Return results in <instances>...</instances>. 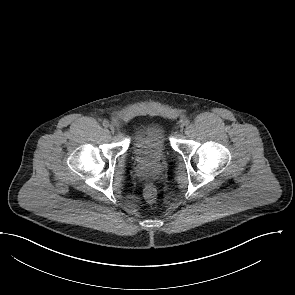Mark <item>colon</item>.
I'll use <instances>...</instances> for the list:
<instances>
[{
    "instance_id": "1",
    "label": "colon",
    "mask_w": 295,
    "mask_h": 295,
    "mask_svg": "<svg viewBox=\"0 0 295 295\" xmlns=\"http://www.w3.org/2000/svg\"><path fill=\"white\" fill-rule=\"evenodd\" d=\"M144 197L148 202H154L157 197V190L154 185L147 184L144 188Z\"/></svg>"
}]
</instances>
